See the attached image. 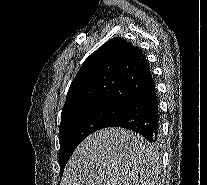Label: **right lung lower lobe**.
<instances>
[{
	"label": "right lung lower lobe",
	"instance_id": "98d812e1",
	"mask_svg": "<svg viewBox=\"0 0 207 185\" xmlns=\"http://www.w3.org/2000/svg\"><path fill=\"white\" fill-rule=\"evenodd\" d=\"M159 117V99L153 83L130 99L106 127L132 130L157 145L160 141Z\"/></svg>",
	"mask_w": 207,
	"mask_h": 185
}]
</instances>
